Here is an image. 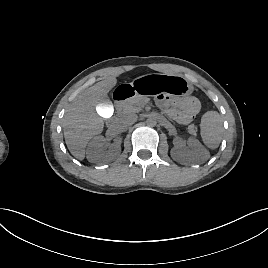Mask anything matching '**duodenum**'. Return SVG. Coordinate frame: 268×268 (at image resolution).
<instances>
[{"mask_svg":"<svg viewBox=\"0 0 268 268\" xmlns=\"http://www.w3.org/2000/svg\"><path fill=\"white\" fill-rule=\"evenodd\" d=\"M131 91L128 89H120L115 92L114 94V102L116 106H120L123 101H125L128 97L131 96ZM117 118V115L115 114L114 117L111 119V121H115Z\"/></svg>","mask_w":268,"mask_h":268,"instance_id":"duodenum-1","label":"duodenum"}]
</instances>
